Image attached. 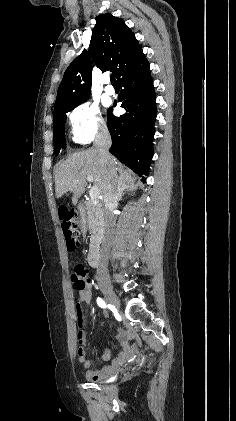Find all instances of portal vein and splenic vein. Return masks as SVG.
Instances as JSON below:
<instances>
[{
	"label": "portal vein and splenic vein",
	"instance_id": "18ae733b",
	"mask_svg": "<svg viewBox=\"0 0 236 421\" xmlns=\"http://www.w3.org/2000/svg\"><path fill=\"white\" fill-rule=\"evenodd\" d=\"M87 180H89V182H93L94 178L93 176H87ZM99 194L100 192L97 186H91L89 190V196H91L92 202H97L98 198H100Z\"/></svg>",
	"mask_w": 236,
	"mask_h": 421
}]
</instances>
